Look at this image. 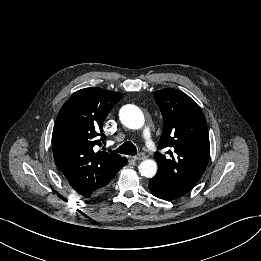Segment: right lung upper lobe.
Instances as JSON below:
<instances>
[{
    "instance_id": "cb5924a9",
    "label": "right lung upper lobe",
    "mask_w": 261,
    "mask_h": 261,
    "mask_svg": "<svg viewBox=\"0 0 261 261\" xmlns=\"http://www.w3.org/2000/svg\"><path fill=\"white\" fill-rule=\"evenodd\" d=\"M122 96L101 88L81 89L57 116L52 133L55 164L83 198L99 194L127 161L111 151H95L105 138L99 134L102 123Z\"/></svg>"
}]
</instances>
